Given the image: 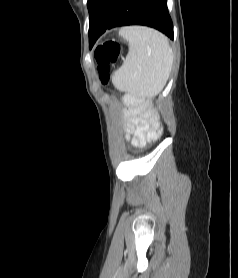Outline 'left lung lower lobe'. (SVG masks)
Segmentation results:
<instances>
[{"mask_svg":"<svg viewBox=\"0 0 238 278\" xmlns=\"http://www.w3.org/2000/svg\"><path fill=\"white\" fill-rule=\"evenodd\" d=\"M133 24L156 28L173 39L167 0H98L90 14V48L107 29Z\"/></svg>","mask_w":238,"mask_h":278,"instance_id":"left-lung-lower-lobe-1","label":"left lung lower lobe"}]
</instances>
